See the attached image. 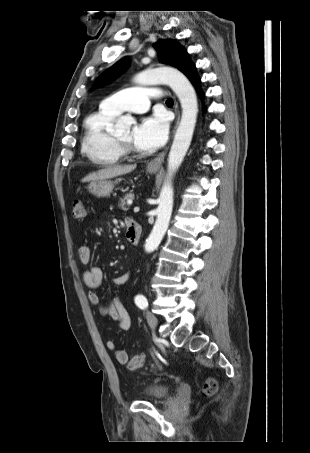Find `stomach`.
Masks as SVG:
<instances>
[{
    "mask_svg": "<svg viewBox=\"0 0 310 453\" xmlns=\"http://www.w3.org/2000/svg\"><path fill=\"white\" fill-rule=\"evenodd\" d=\"M158 168H147L148 173H155L157 172ZM114 188V183L110 180H97L90 183L88 186V190L91 194L97 197H105L108 196Z\"/></svg>",
    "mask_w": 310,
    "mask_h": 453,
    "instance_id": "stomach-1",
    "label": "stomach"
}]
</instances>
